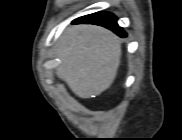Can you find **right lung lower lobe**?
Listing matches in <instances>:
<instances>
[{
  "label": "right lung lower lobe",
  "mask_w": 182,
  "mask_h": 140,
  "mask_svg": "<svg viewBox=\"0 0 182 140\" xmlns=\"http://www.w3.org/2000/svg\"><path fill=\"white\" fill-rule=\"evenodd\" d=\"M75 24H96L106 27L112 30L114 33L120 37H126V33L117 24V18L109 12H97L90 15H86L77 18L73 21Z\"/></svg>",
  "instance_id": "98d812e1"
}]
</instances>
